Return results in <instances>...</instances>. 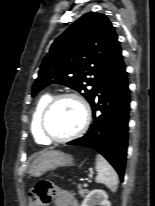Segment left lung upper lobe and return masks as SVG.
<instances>
[{
	"label": "left lung upper lobe",
	"instance_id": "1",
	"mask_svg": "<svg viewBox=\"0 0 155 206\" xmlns=\"http://www.w3.org/2000/svg\"><path fill=\"white\" fill-rule=\"evenodd\" d=\"M121 57L117 34L103 14L89 12L51 45L32 87V96L49 84H62L93 99L103 78Z\"/></svg>",
	"mask_w": 155,
	"mask_h": 206
}]
</instances>
